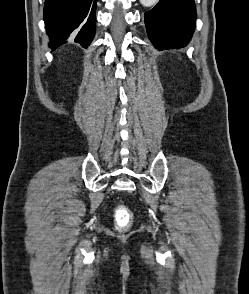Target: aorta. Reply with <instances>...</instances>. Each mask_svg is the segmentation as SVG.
<instances>
[{
	"mask_svg": "<svg viewBox=\"0 0 249 294\" xmlns=\"http://www.w3.org/2000/svg\"><path fill=\"white\" fill-rule=\"evenodd\" d=\"M159 0H140V3L145 7H150L155 5Z\"/></svg>",
	"mask_w": 249,
	"mask_h": 294,
	"instance_id": "aorta-1",
	"label": "aorta"
}]
</instances>
